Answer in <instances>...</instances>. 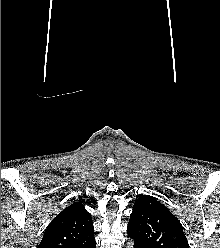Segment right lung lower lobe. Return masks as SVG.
<instances>
[{
	"label": "right lung lower lobe",
	"instance_id": "98d812e1",
	"mask_svg": "<svg viewBox=\"0 0 220 248\" xmlns=\"http://www.w3.org/2000/svg\"><path fill=\"white\" fill-rule=\"evenodd\" d=\"M86 248H96V242L94 241L91 245L87 246Z\"/></svg>",
	"mask_w": 220,
	"mask_h": 248
}]
</instances>
